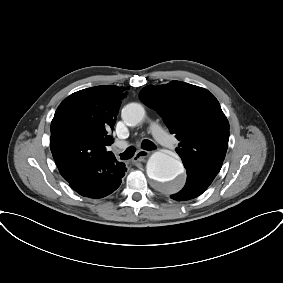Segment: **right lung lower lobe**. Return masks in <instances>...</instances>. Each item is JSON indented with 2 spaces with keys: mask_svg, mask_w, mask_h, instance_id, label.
Instances as JSON below:
<instances>
[{
  "mask_svg": "<svg viewBox=\"0 0 283 283\" xmlns=\"http://www.w3.org/2000/svg\"><path fill=\"white\" fill-rule=\"evenodd\" d=\"M126 170L125 164L116 159L101 160L91 168L77 172L68 182L82 196L102 198L120 186Z\"/></svg>",
  "mask_w": 283,
  "mask_h": 283,
  "instance_id": "obj_1",
  "label": "right lung lower lobe"
}]
</instances>
